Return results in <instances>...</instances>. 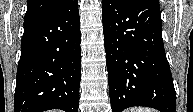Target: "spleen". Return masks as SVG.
Instances as JSON below:
<instances>
[{
    "mask_svg": "<svg viewBox=\"0 0 193 112\" xmlns=\"http://www.w3.org/2000/svg\"><path fill=\"white\" fill-rule=\"evenodd\" d=\"M127 112H155V111L150 108L137 107V108H132Z\"/></svg>",
    "mask_w": 193,
    "mask_h": 112,
    "instance_id": "obj_1",
    "label": "spleen"
}]
</instances>
